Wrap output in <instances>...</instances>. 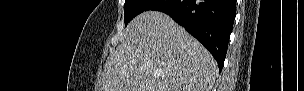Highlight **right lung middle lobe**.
<instances>
[{"label": "right lung middle lobe", "mask_w": 304, "mask_h": 91, "mask_svg": "<svg viewBox=\"0 0 304 91\" xmlns=\"http://www.w3.org/2000/svg\"><path fill=\"white\" fill-rule=\"evenodd\" d=\"M153 0H125L124 22L127 25L135 16L144 12Z\"/></svg>", "instance_id": "dd1d6c3e"}]
</instances>
